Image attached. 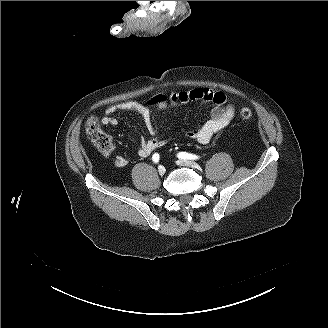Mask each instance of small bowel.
Masks as SVG:
<instances>
[{
    "mask_svg": "<svg viewBox=\"0 0 328 328\" xmlns=\"http://www.w3.org/2000/svg\"><path fill=\"white\" fill-rule=\"evenodd\" d=\"M167 97L172 104L202 102L212 106L210 118L200 127L186 132V137L196 140L200 144L209 143L212 137L225 129L235 116V107L228 102L226 95L222 92H213L208 89H193L186 92H171ZM161 105L164 106L165 103H161ZM119 111H129L138 115L142 119L146 131L152 136L151 138L141 139L138 149L140 157H148L166 144L165 139L156 137L157 127L152 111L146 105L137 101H123L108 106L105 110V115L101 118V123L104 126H116L118 121L113 115ZM103 154L107 156L110 152ZM127 164L128 159L124 156H116L114 158L116 167H125Z\"/></svg>",
    "mask_w": 328,
    "mask_h": 328,
    "instance_id": "small-bowel-1",
    "label": "small bowel"
}]
</instances>
